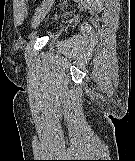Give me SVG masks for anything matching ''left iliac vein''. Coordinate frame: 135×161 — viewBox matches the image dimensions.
I'll return each mask as SVG.
<instances>
[{"label":"left iliac vein","mask_w":135,"mask_h":161,"mask_svg":"<svg viewBox=\"0 0 135 161\" xmlns=\"http://www.w3.org/2000/svg\"><path fill=\"white\" fill-rule=\"evenodd\" d=\"M53 0H43L40 6L37 8L35 15L32 19V26L36 27L42 21V19L46 16L48 11L50 10Z\"/></svg>","instance_id":"left-iliac-vein-1"}]
</instances>
